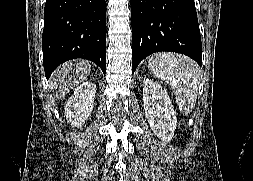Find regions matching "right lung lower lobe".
I'll list each match as a JSON object with an SVG mask.
<instances>
[{"label": "right lung lower lobe", "mask_w": 253, "mask_h": 181, "mask_svg": "<svg viewBox=\"0 0 253 181\" xmlns=\"http://www.w3.org/2000/svg\"><path fill=\"white\" fill-rule=\"evenodd\" d=\"M105 0H47L42 50L45 76L61 63L84 58L106 72Z\"/></svg>", "instance_id": "1"}]
</instances>
